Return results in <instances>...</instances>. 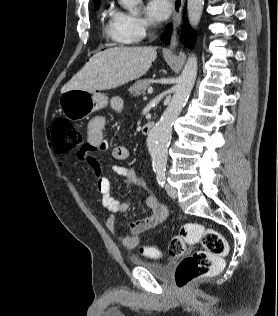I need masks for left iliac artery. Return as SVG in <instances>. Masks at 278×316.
Here are the masks:
<instances>
[{
  "instance_id": "44dca946",
  "label": "left iliac artery",
  "mask_w": 278,
  "mask_h": 316,
  "mask_svg": "<svg viewBox=\"0 0 278 316\" xmlns=\"http://www.w3.org/2000/svg\"><path fill=\"white\" fill-rule=\"evenodd\" d=\"M165 171H166V169L165 168H163V167H161V168H158L157 170H156V173H157V182H158V184L160 185V186H164V184H165V179H166V177H165Z\"/></svg>"
}]
</instances>
